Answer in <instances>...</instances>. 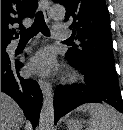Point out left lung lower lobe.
<instances>
[{"mask_svg": "<svg viewBox=\"0 0 123 130\" xmlns=\"http://www.w3.org/2000/svg\"><path fill=\"white\" fill-rule=\"evenodd\" d=\"M85 76V82L76 86H58L54 94V123L60 117L85 103L111 105L123 113V102L115 70L108 67L69 60Z\"/></svg>", "mask_w": 123, "mask_h": 130, "instance_id": "obj_1", "label": "left lung lower lobe"}]
</instances>
